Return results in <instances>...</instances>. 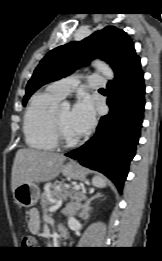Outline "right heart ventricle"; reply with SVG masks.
<instances>
[{
  "label": "right heart ventricle",
  "instance_id": "obj_1",
  "mask_svg": "<svg viewBox=\"0 0 162 261\" xmlns=\"http://www.w3.org/2000/svg\"><path fill=\"white\" fill-rule=\"evenodd\" d=\"M60 99L48 89L32 96L23 119L25 141L30 148L40 151H52L56 148L50 117L53 106Z\"/></svg>",
  "mask_w": 162,
  "mask_h": 261
}]
</instances>
